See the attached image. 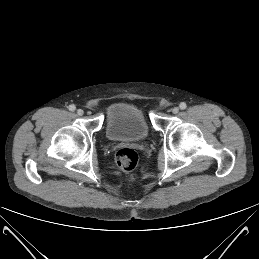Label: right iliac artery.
<instances>
[{"mask_svg":"<svg viewBox=\"0 0 259 259\" xmlns=\"http://www.w3.org/2000/svg\"><path fill=\"white\" fill-rule=\"evenodd\" d=\"M68 108H69L70 111H75V109H76L74 104L69 105Z\"/></svg>","mask_w":259,"mask_h":259,"instance_id":"right-iliac-artery-1","label":"right iliac artery"}]
</instances>
